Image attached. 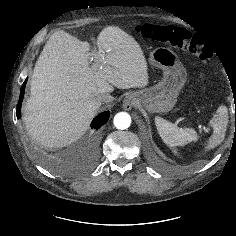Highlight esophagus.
Instances as JSON below:
<instances>
[{"mask_svg":"<svg viewBox=\"0 0 236 236\" xmlns=\"http://www.w3.org/2000/svg\"><path fill=\"white\" fill-rule=\"evenodd\" d=\"M135 104L134 97L129 95L123 101V108L125 110H131Z\"/></svg>","mask_w":236,"mask_h":236,"instance_id":"34e87169","label":"esophagus"}]
</instances>
